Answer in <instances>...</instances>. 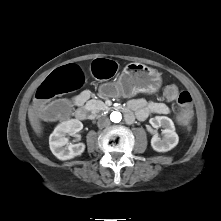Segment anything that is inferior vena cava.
I'll return each mask as SVG.
<instances>
[{"instance_id":"602c4592","label":"inferior vena cava","mask_w":221,"mask_h":221,"mask_svg":"<svg viewBox=\"0 0 221 221\" xmlns=\"http://www.w3.org/2000/svg\"><path fill=\"white\" fill-rule=\"evenodd\" d=\"M97 125H98L99 128L107 127V126L110 125V120H109L108 117H105V116L100 117L98 119Z\"/></svg>"}]
</instances>
